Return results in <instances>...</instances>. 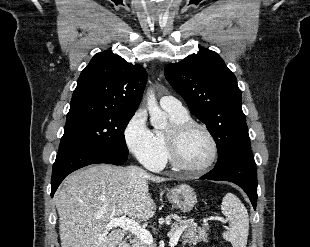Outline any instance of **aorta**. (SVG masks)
Masks as SVG:
<instances>
[{
	"label": "aorta",
	"mask_w": 310,
	"mask_h": 247,
	"mask_svg": "<svg viewBox=\"0 0 310 247\" xmlns=\"http://www.w3.org/2000/svg\"><path fill=\"white\" fill-rule=\"evenodd\" d=\"M147 107L150 115V122L156 129H166L168 126L165 113L158 106L155 94L152 89L147 93Z\"/></svg>",
	"instance_id": "obj_1"
}]
</instances>
